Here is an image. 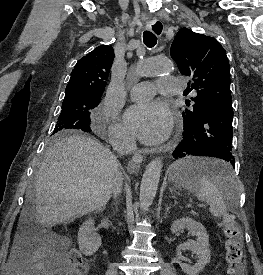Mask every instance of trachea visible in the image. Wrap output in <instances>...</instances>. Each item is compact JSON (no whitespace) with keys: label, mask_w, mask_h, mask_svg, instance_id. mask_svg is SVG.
<instances>
[{"label":"trachea","mask_w":263,"mask_h":275,"mask_svg":"<svg viewBox=\"0 0 263 275\" xmlns=\"http://www.w3.org/2000/svg\"><path fill=\"white\" fill-rule=\"evenodd\" d=\"M143 42L149 48L154 47L157 43V37L150 31H144Z\"/></svg>","instance_id":"obj_1"}]
</instances>
